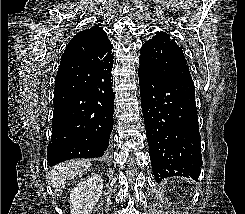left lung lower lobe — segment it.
<instances>
[{
  "label": "left lung lower lobe",
  "instance_id": "0a47b994",
  "mask_svg": "<svg viewBox=\"0 0 245 214\" xmlns=\"http://www.w3.org/2000/svg\"><path fill=\"white\" fill-rule=\"evenodd\" d=\"M142 112L156 181H198L202 166L193 82L165 79L139 68Z\"/></svg>",
  "mask_w": 245,
  "mask_h": 214
}]
</instances>
